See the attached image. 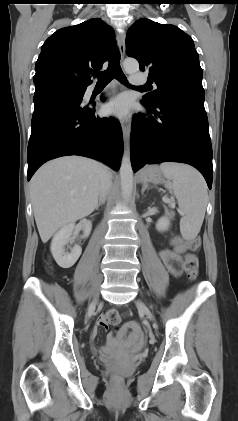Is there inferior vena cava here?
<instances>
[{
    "label": "inferior vena cava",
    "instance_id": "1",
    "mask_svg": "<svg viewBox=\"0 0 238 421\" xmlns=\"http://www.w3.org/2000/svg\"><path fill=\"white\" fill-rule=\"evenodd\" d=\"M99 176H100V185H99V198L100 200H105L107 191L111 187V173L109 169L103 164H99Z\"/></svg>",
    "mask_w": 238,
    "mask_h": 421
}]
</instances>
